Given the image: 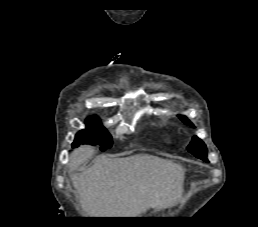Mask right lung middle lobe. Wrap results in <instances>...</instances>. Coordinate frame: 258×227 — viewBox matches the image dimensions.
I'll use <instances>...</instances> for the list:
<instances>
[{"label": "right lung middle lobe", "instance_id": "obj_1", "mask_svg": "<svg viewBox=\"0 0 258 227\" xmlns=\"http://www.w3.org/2000/svg\"><path fill=\"white\" fill-rule=\"evenodd\" d=\"M80 144H98L102 151L112 146V137L102 126L100 120L95 117H89L86 120V129L76 134L72 147L75 148Z\"/></svg>", "mask_w": 258, "mask_h": 227}]
</instances>
